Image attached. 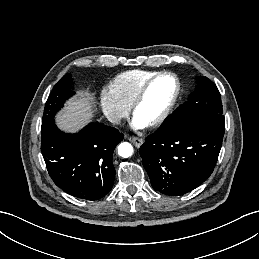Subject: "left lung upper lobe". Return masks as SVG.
Returning a JSON list of instances; mask_svg holds the SVG:
<instances>
[{
	"instance_id": "5c2ea615",
	"label": "left lung upper lobe",
	"mask_w": 259,
	"mask_h": 259,
	"mask_svg": "<svg viewBox=\"0 0 259 259\" xmlns=\"http://www.w3.org/2000/svg\"><path fill=\"white\" fill-rule=\"evenodd\" d=\"M198 85L189 96L188 101L180 105L176 111L159 127V131H166L186 119L200 113L223 114L220 93L215 84L207 77L198 76Z\"/></svg>"
}]
</instances>
